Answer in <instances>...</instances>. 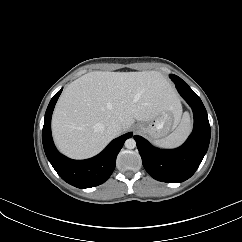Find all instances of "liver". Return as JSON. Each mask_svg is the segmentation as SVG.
<instances>
[{"mask_svg": "<svg viewBox=\"0 0 242 242\" xmlns=\"http://www.w3.org/2000/svg\"><path fill=\"white\" fill-rule=\"evenodd\" d=\"M181 115L180 101L157 71L89 72L61 94L52 117V134L65 155L83 159L99 153L115 136L112 123L127 132L135 120L150 122L163 112Z\"/></svg>", "mask_w": 242, "mask_h": 242, "instance_id": "1", "label": "liver"}]
</instances>
